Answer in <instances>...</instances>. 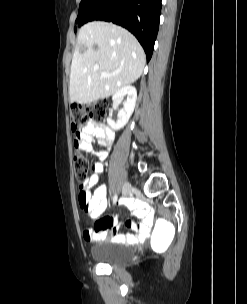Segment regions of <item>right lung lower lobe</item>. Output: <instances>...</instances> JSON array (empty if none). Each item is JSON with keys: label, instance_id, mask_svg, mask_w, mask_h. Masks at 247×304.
<instances>
[{"label": "right lung lower lobe", "instance_id": "obj_1", "mask_svg": "<svg viewBox=\"0 0 247 304\" xmlns=\"http://www.w3.org/2000/svg\"><path fill=\"white\" fill-rule=\"evenodd\" d=\"M160 13L161 0H103L79 25L104 20L128 29L142 45L148 62L159 29Z\"/></svg>", "mask_w": 247, "mask_h": 304}]
</instances>
